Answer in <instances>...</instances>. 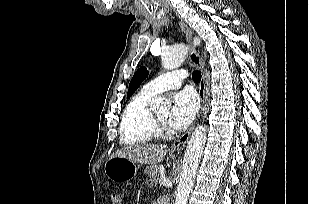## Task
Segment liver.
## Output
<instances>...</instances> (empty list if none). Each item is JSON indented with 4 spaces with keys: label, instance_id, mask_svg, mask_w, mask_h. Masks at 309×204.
I'll return each mask as SVG.
<instances>
[{
    "label": "liver",
    "instance_id": "1",
    "mask_svg": "<svg viewBox=\"0 0 309 204\" xmlns=\"http://www.w3.org/2000/svg\"><path fill=\"white\" fill-rule=\"evenodd\" d=\"M166 153L167 147L164 145L137 144L117 150L112 157H123L135 163L155 165L165 158Z\"/></svg>",
    "mask_w": 309,
    "mask_h": 204
}]
</instances>
